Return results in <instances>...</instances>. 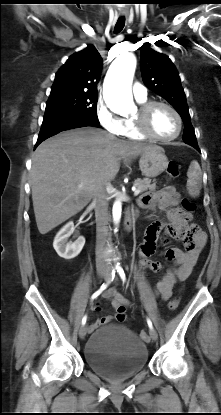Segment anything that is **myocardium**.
<instances>
[{"label": "myocardium", "mask_w": 221, "mask_h": 415, "mask_svg": "<svg viewBox=\"0 0 221 415\" xmlns=\"http://www.w3.org/2000/svg\"><path fill=\"white\" fill-rule=\"evenodd\" d=\"M156 106H163L167 108L175 116L177 120L178 128H177L176 133L173 136L160 137L152 132L150 128L149 120H150V114ZM134 122H135L137 130L139 131L141 135H143L145 138H148L150 140L157 141V142H171V141L176 140L180 136L182 132V128H183V120H182L180 113L177 111V109L170 103L161 101V100H152V101H147L141 104L136 116L134 117Z\"/></svg>", "instance_id": "myocardium-1"}]
</instances>
